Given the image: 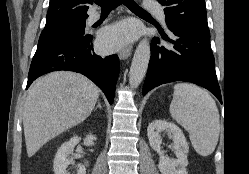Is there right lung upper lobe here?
Listing matches in <instances>:
<instances>
[{"mask_svg": "<svg viewBox=\"0 0 249 174\" xmlns=\"http://www.w3.org/2000/svg\"><path fill=\"white\" fill-rule=\"evenodd\" d=\"M94 0H50L46 25L65 21L82 20L88 17L87 10Z\"/></svg>", "mask_w": 249, "mask_h": 174, "instance_id": "1", "label": "right lung upper lobe"}]
</instances>
